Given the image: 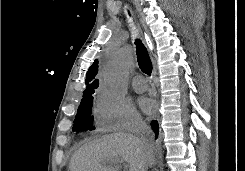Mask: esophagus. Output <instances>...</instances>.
Listing matches in <instances>:
<instances>
[{"instance_id":"esophagus-1","label":"esophagus","mask_w":245,"mask_h":171,"mask_svg":"<svg viewBox=\"0 0 245 171\" xmlns=\"http://www.w3.org/2000/svg\"><path fill=\"white\" fill-rule=\"evenodd\" d=\"M147 44L149 47V54H150V58H151V62H152L153 79H154V82L157 83V62H156V58H155V55H154L153 51L151 50L148 42H147Z\"/></svg>"}]
</instances>
